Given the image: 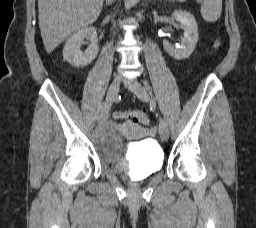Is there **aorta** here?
<instances>
[{"mask_svg":"<svg viewBox=\"0 0 256 228\" xmlns=\"http://www.w3.org/2000/svg\"><path fill=\"white\" fill-rule=\"evenodd\" d=\"M139 0H124V6L126 9L134 6Z\"/></svg>","mask_w":256,"mask_h":228,"instance_id":"762f6f07","label":"aorta"}]
</instances>
